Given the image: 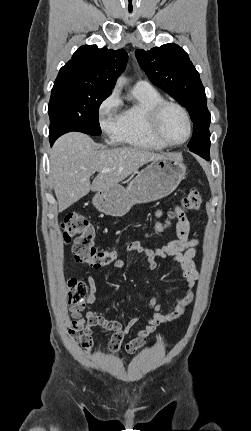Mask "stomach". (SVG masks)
Here are the masks:
<instances>
[{
  "instance_id": "0dacf381",
  "label": "stomach",
  "mask_w": 251,
  "mask_h": 431,
  "mask_svg": "<svg viewBox=\"0 0 251 431\" xmlns=\"http://www.w3.org/2000/svg\"><path fill=\"white\" fill-rule=\"evenodd\" d=\"M186 176L185 165L174 155L152 161L130 182L98 191L93 205L106 215L122 217L135 204L153 202L171 194Z\"/></svg>"
}]
</instances>
